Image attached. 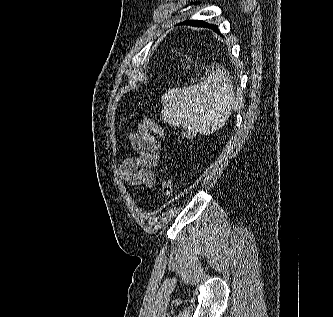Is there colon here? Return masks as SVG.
Wrapping results in <instances>:
<instances>
[{"instance_id":"obj_1","label":"colon","mask_w":333,"mask_h":317,"mask_svg":"<svg viewBox=\"0 0 333 317\" xmlns=\"http://www.w3.org/2000/svg\"><path fill=\"white\" fill-rule=\"evenodd\" d=\"M183 138L190 139L194 136V131L191 128H186L181 133ZM160 192L162 198L170 197L174 192V186L170 179H162L160 181Z\"/></svg>"}]
</instances>
